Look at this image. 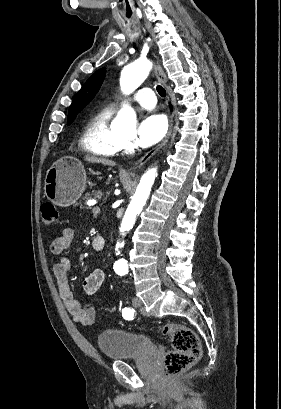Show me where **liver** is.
<instances>
[{"label": "liver", "mask_w": 281, "mask_h": 409, "mask_svg": "<svg viewBox=\"0 0 281 409\" xmlns=\"http://www.w3.org/2000/svg\"><path fill=\"white\" fill-rule=\"evenodd\" d=\"M85 160L88 162H102V164H108V166H115L114 160H109L106 156H97V154H85Z\"/></svg>", "instance_id": "liver-1"}]
</instances>
